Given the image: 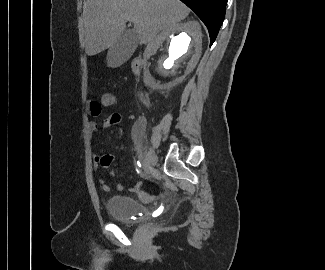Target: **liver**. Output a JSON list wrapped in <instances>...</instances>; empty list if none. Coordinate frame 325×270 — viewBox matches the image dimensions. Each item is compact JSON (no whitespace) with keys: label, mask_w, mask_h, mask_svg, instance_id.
<instances>
[{"label":"liver","mask_w":325,"mask_h":270,"mask_svg":"<svg viewBox=\"0 0 325 270\" xmlns=\"http://www.w3.org/2000/svg\"><path fill=\"white\" fill-rule=\"evenodd\" d=\"M190 9L179 0H87L85 7V51L96 55L110 48L126 29L127 17H136L134 31L145 56L154 52L157 35L185 19Z\"/></svg>","instance_id":"1"}]
</instances>
